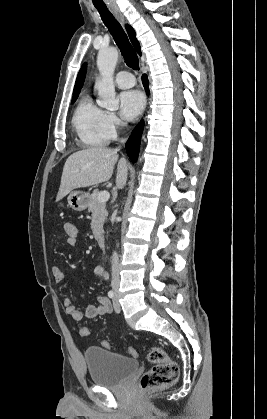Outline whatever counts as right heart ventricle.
<instances>
[{
  "label": "right heart ventricle",
  "instance_id": "1",
  "mask_svg": "<svg viewBox=\"0 0 267 419\" xmlns=\"http://www.w3.org/2000/svg\"><path fill=\"white\" fill-rule=\"evenodd\" d=\"M106 113L91 96L79 100L72 117V124L80 142L88 147L105 146L110 137L105 127Z\"/></svg>",
  "mask_w": 267,
  "mask_h": 419
}]
</instances>
